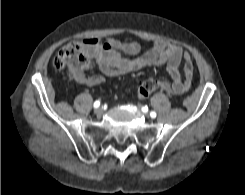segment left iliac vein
I'll use <instances>...</instances> for the list:
<instances>
[{"label": "left iliac vein", "instance_id": "obj_1", "mask_svg": "<svg viewBox=\"0 0 245 195\" xmlns=\"http://www.w3.org/2000/svg\"><path fill=\"white\" fill-rule=\"evenodd\" d=\"M143 112L147 114V112H146V111H144V110H143Z\"/></svg>", "mask_w": 245, "mask_h": 195}]
</instances>
